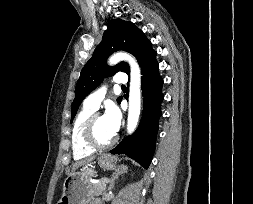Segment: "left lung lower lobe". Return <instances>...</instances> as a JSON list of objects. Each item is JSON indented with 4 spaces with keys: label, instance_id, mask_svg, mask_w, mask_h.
<instances>
[{
    "label": "left lung lower lobe",
    "instance_id": "obj_1",
    "mask_svg": "<svg viewBox=\"0 0 253 204\" xmlns=\"http://www.w3.org/2000/svg\"><path fill=\"white\" fill-rule=\"evenodd\" d=\"M156 54V51L150 48L141 65L144 107L139 127L132 136L125 138L110 151L112 154H126L146 169L153 158L161 102L164 98L163 79L159 74Z\"/></svg>",
    "mask_w": 253,
    "mask_h": 204
}]
</instances>
